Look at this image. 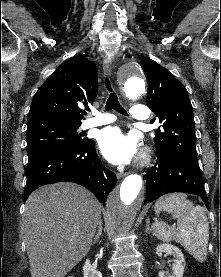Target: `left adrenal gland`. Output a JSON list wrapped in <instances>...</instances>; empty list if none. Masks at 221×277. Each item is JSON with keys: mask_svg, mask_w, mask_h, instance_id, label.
<instances>
[{"mask_svg": "<svg viewBox=\"0 0 221 277\" xmlns=\"http://www.w3.org/2000/svg\"><path fill=\"white\" fill-rule=\"evenodd\" d=\"M146 233H150L152 232V229L150 228V221L149 219L146 220V229H145Z\"/></svg>", "mask_w": 221, "mask_h": 277, "instance_id": "1", "label": "left adrenal gland"}]
</instances>
